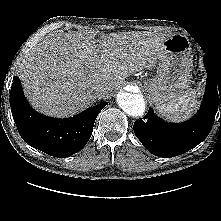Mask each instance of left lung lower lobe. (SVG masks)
I'll use <instances>...</instances> for the list:
<instances>
[{
	"instance_id": "obj_1",
	"label": "left lung lower lobe",
	"mask_w": 221,
	"mask_h": 221,
	"mask_svg": "<svg viewBox=\"0 0 221 221\" xmlns=\"http://www.w3.org/2000/svg\"><path fill=\"white\" fill-rule=\"evenodd\" d=\"M207 83L200 110L196 116L183 123H167L159 119L150 108L142 119L134 123V133L140 142L159 157H174L187 152L201 143L211 131L218 104H221V79L204 58Z\"/></svg>"
}]
</instances>
